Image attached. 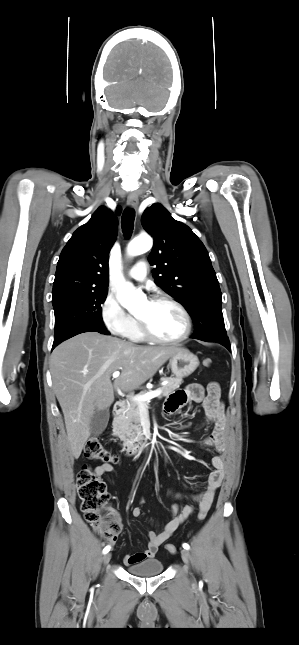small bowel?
Wrapping results in <instances>:
<instances>
[{"mask_svg":"<svg viewBox=\"0 0 299 645\" xmlns=\"http://www.w3.org/2000/svg\"><path fill=\"white\" fill-rule=\"evenodd\" d=\"M189 403H202L204 409V418L206 423H213L214 430L207 437L203 444L207 447H213L218 454L211 458L213 470L209 473L206 481L205 490L193 496L198 503L199 509L208 511L212 505L215 493L220 487L224 476L225 455L227 450V433L224 421V408L220 399V388L218 384L211 383L205 390L198 383L189 384L185 389L176 391L170 395L164 405L165 413L168 415L176 413L180 408ZM113 471V465L110 463L100 464L95 468L98 476L108 474ZM173 499L182 498L180 493L171 492ZM145 503L144 498H140L139 505L132 509V515L135 518H141L143 511L141 506ZM179 511V513H178ZM191 505L181 506L175 502L171 509V517L160 532L150 531L148 533L147 548L143 552L128 554L124 557V563L127 566L152 559L156 556L159 547L169 539L179 526L192 514ZM111 514L120 524L122 518L120 514L111 509Z\"/></svg>","mask_w":299,"mask_h":645,"instance_id":"1","label":"small bowel"}]
</instances>
